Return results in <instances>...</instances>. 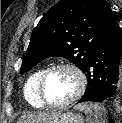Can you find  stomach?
I'll return each mask as SVG.
<instances>
[{"instance_id": "obj_1", "label": "stomach", "mask_w": 122, "mask_h": 123, "mask_svg": "<svg viewBox=\"0 0 122 123\" xmlns=\"http://www.w3.org/2000/svg\"><path fill=\"white\" fill-rule=\"evenodd\" d=\"M50 118L44 123H84V118L73 112H52Z\"/></svg>"}]
</instances>
